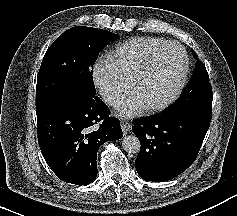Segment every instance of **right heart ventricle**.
I'll return each mask as SVG.
<instances>
[{
	"mask_svg": "<svg viewBox=\"0 0 237 216\" xmlns=\"http://www.w3.org/2000/svg\"><path fill=\"white\" fill-rule=\"evenodd\" d=\"M170 48L167 39L161 36H140L117 46L108 57L113 81L124 86L133 80L134 73L150 57Z\"/></svg>",
	"mask_w": 237,
	"mask_h": 216,
	"instance_id": "1",
	"label": "right heart ventricle"
}]
</instances>
